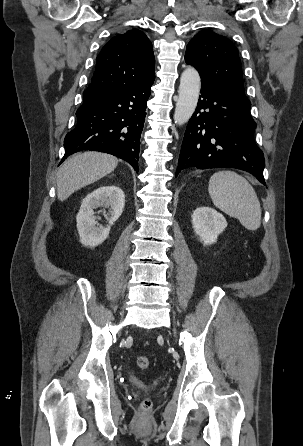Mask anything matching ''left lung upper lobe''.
<instances>
[{"label": "left lung upper lobe", "instance_id": "5c2ea615", "mask_svg": "<svg viewBox=\"0 0 303 446\" xmlns=\"http://www.w3.org/2000/svg\"><path fill=\"white\" fill-rule=\"evenodd\" d=\"M185 62L194 66L201 79L215 83L246 102L238 49L226 37L202 30L188 43Z\"/></svg>", "mask_w": 303, "mask_h": 446}]
</instances>
